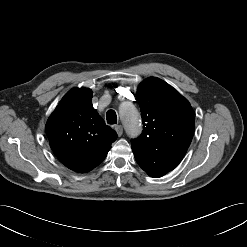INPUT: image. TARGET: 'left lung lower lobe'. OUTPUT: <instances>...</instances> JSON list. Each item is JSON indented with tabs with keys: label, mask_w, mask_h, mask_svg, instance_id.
<instances>
[{
	"label": "left lung lower lobe",
	"mask_w": 247,
	"mask_h": 247,
	"mask_svg": "<svg viewBox=\"0 0 247 247\" xmlns=\"http://www.w3.org/2000/svg\"><path fill=\"white\" fill-rule=\"evenodd\" d=\"M171 170H173V169H170V168H161V169H158L157 171L148 172V174L150 176H152V177H161V176L165 175L166 173H168Z\"/></svg>",
	"instance_id": "left-lung-lower-lobe-1"
}]
</instances>
